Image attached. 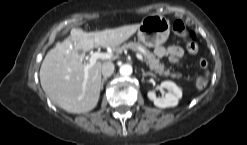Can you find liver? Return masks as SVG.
<instances>
[{
  "mask_svg": "<svg viewBox=\"0 0 247 145\" xmlns=\"http://www.w3.org/2000/svg\"><path fill=\"white\" fill-rule=\"evenodd\" d=\"M140 24L125 25L85 33L72 29L71 35L57 42L45 56L40 68L42 89L50 100L69 113H86L93 110L99 100L101 89V61L89 69L85 79L84 56L79 51L94 47H117L128 40Z\"/></svg>",
  "mask_w": 247,
  "mask_h": 145,
  "instance_id": "1",
  "label": "liver"
}]
</instances>
